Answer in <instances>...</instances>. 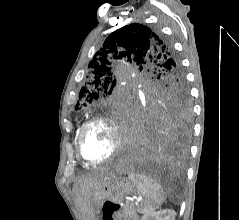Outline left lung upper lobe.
<instances>
[{
	"instance_id": "obj_1",
	"label": "left lung upper lobe",
	"mask_w": 239,
	"mask_h": 220,
	"mask_svg": "<svg viewBox=\"0 0 239 220\" xmlns=\"http://www.w3.org/2000/svg\"><path fill=\"white\" fill-rule=\"evenodd\" d=\"M136 62L140 71L153 75L145 86L121 85L118 69L122 61ZM76 110L87 104L114 115L139 108L151 112H179L188 117L191 104L179 58L159 32L134 23L110 34L88 65ZM102 112V111H101Z\"/></svg>"
}]
</instances>
